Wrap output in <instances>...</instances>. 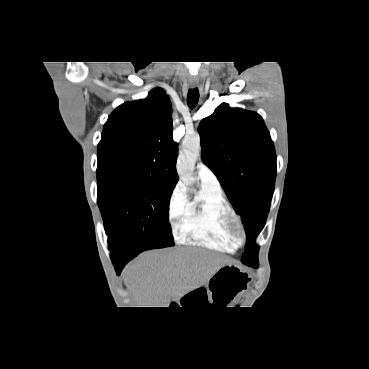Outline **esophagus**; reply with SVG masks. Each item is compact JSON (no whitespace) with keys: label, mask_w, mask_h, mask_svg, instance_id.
Here are the masks:
<instances>
[{"label":"esophagus","mask_w":369,"mask_h":369,"mask_svg":"<svg viewBox=\"0 0 369 369\" xmlns=\"http://www.w3.org/2000/svg\"><path fill=\"white\" fill-rule=\"evenodd\" d=\"M198 86V83L197 82H191L190 83V87L191 88H196Z\"/></svg>","instance_id":"esophagus-1"}]
</instances>
